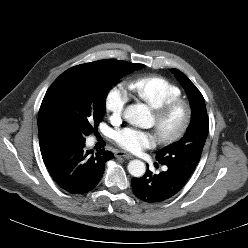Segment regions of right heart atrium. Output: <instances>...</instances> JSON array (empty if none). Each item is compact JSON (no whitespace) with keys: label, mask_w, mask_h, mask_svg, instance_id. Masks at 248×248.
Listing matches in <instances>:
<instances>
[{"label":"right heart atrium","mask_w":248,"mask_h":248,"mask_svg":"<svg viewBox=\"0 0 248 248\" xmlns=\"http://www.w3.org/2000/svg\"><path fill=\"white\" fill-rule=\"evenodd\" d=\"M129 95L121 85L112 86L105 96V108L112 120L119 121L125 111Z\"/></svg>","instance_id":"obj_1"}]
</instances>
